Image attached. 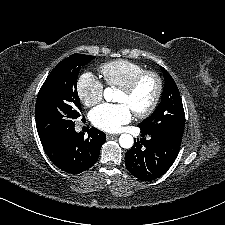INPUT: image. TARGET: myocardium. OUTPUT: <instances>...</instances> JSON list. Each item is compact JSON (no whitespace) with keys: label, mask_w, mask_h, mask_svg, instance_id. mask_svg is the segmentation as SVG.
Here are the masks:
<instances>
[{"label":"myocardium","mask_w":225,"mask_h":225,"mask_svg":"<svg viewBox=\"0 0 225 225\" xmlns=\"http://www.w3.org/2000/svg\"><path fill=\"white\" fill-rule=\"evenodd\" d=\"M146 77H151L155 81L156 90H155L154 97L151 103L149 104V106L142 111L134 112V115L137 118H146L150 114H152L154 110L157 108L160 98L162 96V92H163V82L161 77L156 72L144 70L138 73L137 75H135L132 79L129 80L128 83H126L124 86L120 88L122 92L126 94H130L135 90L137 85Z\"/></svg>","instance_id":"f54148a6"}]
</instances>
